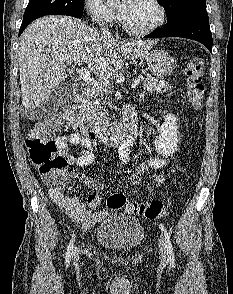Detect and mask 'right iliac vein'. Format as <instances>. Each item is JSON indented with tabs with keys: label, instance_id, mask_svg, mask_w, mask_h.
I'll return each instance as SVG.
<instances>
[{
	"label": "right iliac vein",
	"instance_id": "1",
	"mask_svg": "<svg viewBox=\"0 0 233 294\" xmlns=\"http://www.w3.org/2000/svg\"><path fill=\"white\" fill-rule=\"evenodd\" d=\"M79 252H80L79 248H76L75 251H74V254H73V256H74V265L78 264L79 254H80Z\"/></svg>",
	"mask_w": 233,
	"mask_h": 294
}]
</instances>
